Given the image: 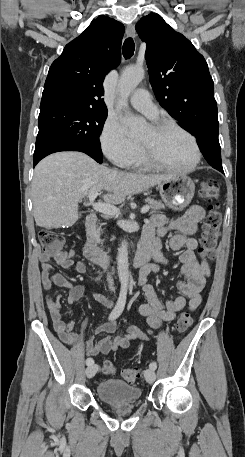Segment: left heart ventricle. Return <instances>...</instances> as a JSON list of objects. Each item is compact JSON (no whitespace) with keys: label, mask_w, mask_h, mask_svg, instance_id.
I'll list each match as a JSON object with an SVG mask.
<instances>
[{"label":"left heart ventricle","mask_w":245,"mask_h":457,"mask_svg":"<svg viewBox=\"0 0 245 457\" xmlns=\"http://www.w3.org/2000/svg\"><path fill=\"white\" fill-rule=\"evenodd\" d=\"M136 142L144 148L147 155L169 167H187L194 158L190 140L175 129L157 134L150 127L136 139Z\"/></svg>","instance_id":"1"}]
</instances>
